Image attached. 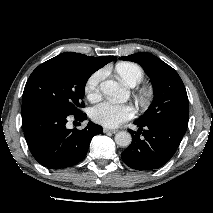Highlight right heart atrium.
I'll return each instance as SVG.
<instances>
[{"label": "right heart atrium", "mask_w": 213, "mask_h": 213, "mask_svg": "<svg viewBox=\"0 0 213 213\" xmlns=\"http://www.w3.org/2000/svg\"><path fill=\"white\" fill-rule=\"evenodd\" d=\"M104 77L103 70H97L86 80L84 92L89 100H96L100 96V83Z\"/></svg>", "instance_id": "d8ad5b80"}]
</instances>
